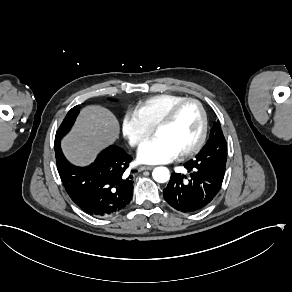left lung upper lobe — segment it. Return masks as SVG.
<instances>
[{"instance_id":"obj_1","label":"left lung upper lobe","mask_w":292,"mask_h":292,"mask_svg":"<svg viewBox=\"0 0 292 292\" xmlns=\"http://www.w3.org/2000/svg\"><path fill=\"white\" fill-rule=\"evenodd\" d=\"M192 161L207 169H225L227 146L219 121L214 123L209 140Z\"/></svg>"}]
</instances>
